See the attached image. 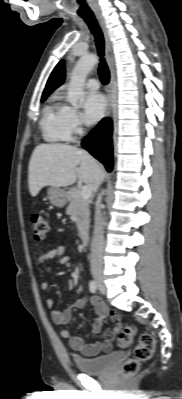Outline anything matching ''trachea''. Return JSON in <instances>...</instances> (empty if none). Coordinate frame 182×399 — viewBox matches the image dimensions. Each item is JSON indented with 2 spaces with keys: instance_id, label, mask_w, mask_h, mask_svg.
Instances as JSON below:
<instances>
[{
  "instance_id": "3493384b",
  "label": "trachea",
  "mask_w": 182,
  "mask_h": 399,
  "mask_svg": "<svg viewBox=\"0 0 182 399\" xmlns=\"http://www.w3.org/2000/svg\"><path fill=\"white\" fill-rule=\"evenodd\" d=\"M81 17L85 20L87 25L89 26L92 34L95 37L96 46L98 49L99 56L101 57L100 66L98 69V73L100 76L101 82L106 85L109 82L110 74L106 62L103 58L104 56V40L102 31L94 17L93 14H83Z\"/></svg>"
}]
</instances>
